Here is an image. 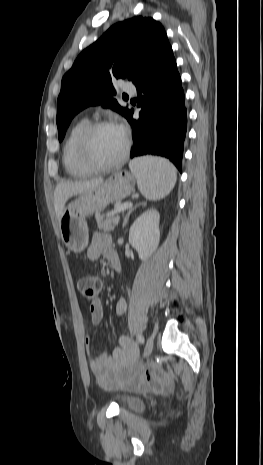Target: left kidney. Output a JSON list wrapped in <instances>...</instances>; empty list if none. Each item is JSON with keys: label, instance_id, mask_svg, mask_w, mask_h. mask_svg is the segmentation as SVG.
Segmentation results:
<instances>
[{"label": "left kidney", "instance_id": "5707ae66", "mask_svg": "<svg viewBox=\"0 0 263 465\" xmlns=\"http://www.w3.org/2000/svg\"><path fill=\"white\" fill-rule=\"evenodd\" d=\"M159 221V212L150 209L141 214L130 227L129 242L136 249L141 260L147 259L158 247Z\"/></svg>", "mask_w": 263, "mask_h": 465}]
</instances>
